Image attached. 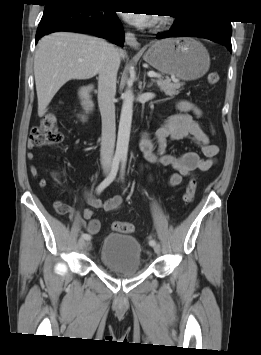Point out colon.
Returning <instances> with one entry per match:
<instances>
[{
	"mask_svg": "<svg viewBox=\"0 0 261 355\" xmlns=\"http://www.w3.org/2000/svg\"><path fill=\"white\" fill-rule=\"evenodd\" d=\"M208 83L216 84L219 81V74L217 72H211L208 75ZM63 134L58 129L57 121L52 116L45 117L41 123L35 126L30 135V140L33 144L36 145H58L63 142ZM196 180H189L185 193H184V201L186 203H191L196 194ZM114 231L118 233H132L135 230V226L129 222H114L112 225Z\"/></svg>",
	"mask_w": 261,
	"mask_h": 355,
	"instance_id": "obj_1",
	"label": "colon"
}]
</instances>
